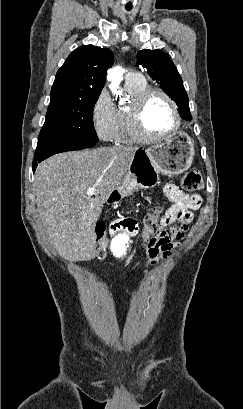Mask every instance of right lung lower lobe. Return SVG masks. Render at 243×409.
I'll return each instance as SVG.
<instances>
[{
	"mask_svg": "<svg viewBox=\"0 0 243 409\" xmlns=\"http://www.w3.org/2000/svg\"><path fill=\"white\" fill-rule=\"evenodd\" d=\"M96 142L93 140H75L70 142L38 141L33 161V172L38 163L54 154L89 148L94 146Z\"/></svg>",
	"mask_w": 243,
	"mask_h": 409,
	"instance_id": "obj_1",
	"label": "right lung lower lobe"
}]
</instances>
